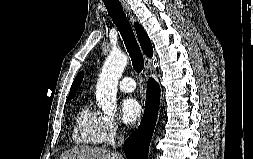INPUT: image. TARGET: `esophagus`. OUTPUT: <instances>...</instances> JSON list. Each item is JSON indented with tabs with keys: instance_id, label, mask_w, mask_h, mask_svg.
<instances>
[{
	"instance_id": "obj_1",
	"label": "esophagus",
	"mask_w": 253,
	"mask_h": 159,
	"mask_svg": "<svg viewBox=\"0 0 253 159\" xmlns=\"http://www.w3.org/2000/svg\"><path fill=\"white\" fill-rule=\"evenodd\" d=\"M123 7L126 10V12L129 13V7L127 6V4L125 2H123ZM144 73H145V78H147V76H148V68L145 70Z\"/></svg>"
}]
</instances>
